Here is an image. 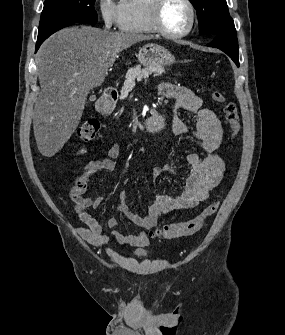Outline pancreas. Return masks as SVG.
Segmentation results:
<instances>
[{"label": "pancreas", "instance_id": "cf45deb5", "mask_svg": "<svg viewBox=\"0 0 285 335\" xmlns=\"http://www.w3.org/2000/svg\"><path fill=\"white\" fill-rule=\"evenodd\" d=\"M164 68L162 66H146V68H141V66H135L133 71H126L124 83L120 88L122 93H130L131 90H136L137 85L142 82L141 78L145 81H152L155 76L163 74Z\"/></svg>", "mask_w": 285, "mask_h": 335}]
</instances>
